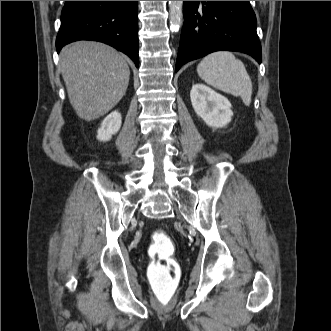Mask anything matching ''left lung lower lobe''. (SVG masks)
Masks as SVG:
<instances>
[{
	"label": "left lung lower lobe",
	"instance_id": "left-lung-lower-lobe-1",
	"mask_svg": "<svg viewBox=\"0 0 331 331\" xmlns=\"http://www.w3.org/2000/svg\"><path fill=\"white\" fill-rule=\"evenodd\" d=\"M183 14L176 72L183 64L220 50L243 52L261 63L256 16L249 1H184Z\"/></svg>",
	"mask_w": 331,
	"mask_h": 331
}]
</instances>
